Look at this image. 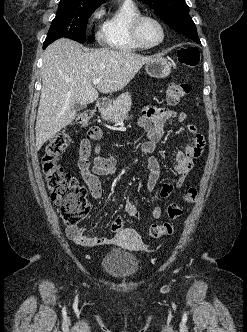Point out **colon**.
Segmentation results:
<instances>
[{"mask_svg":"<svg viewBox=\"0 0 247 332\" xmlns=\"http://www.w3.org/2000/svg\"><path fill=\"white\" fill-rule=\"evenodd\" d=\"M178 60L187 67H196L199 63V52L196 48L185 47L178 50ZM191 86L188 83H172L168 86L166 100L169 105H177L189 92ZM93 116L92 110L81 112L75 124L81 127L87 126ZM71 136L68 130L58 131L49 140L42 157V169L47 182L52 201L59 207L61 217L67 225H77L90 212V204L87 199L86 188L77 178L65 172L59 164V159L68 147ZM197 198V189L188 188L183 200L193 203ZM168 220L161 224H152L149 227V235L152 238L171 235L177 220L182 216L183 210L177 203H170L166 208ZM124 227L122 218H115L111 223V231L118 233Z\"/></svg>","mask_w":247,"mask_h":332,"instance_id":"colon-1","label":"colon"}]
</instances>
